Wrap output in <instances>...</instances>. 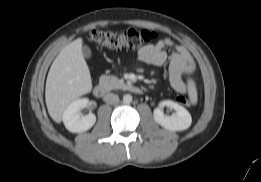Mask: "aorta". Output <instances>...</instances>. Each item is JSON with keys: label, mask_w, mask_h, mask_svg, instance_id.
I'll use <instances>...</instances> for the list:
<instances>
[{"label": "aorta", "mask_w": 261, "mask_h": 182, "mask_svg": "<svg viewBox=\"0 0 261 182\" xmlns=\"http://www.w3.org/2000/svg\"><path fill=\"white\" fill-rule=\"evenodd\" d=\"M132 96L130 95V94H125L124 96H123V102L125 103V104H129V103H131L132 102Z\"/></svg>", "instance_id": "1"}]
</instances>
